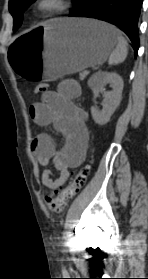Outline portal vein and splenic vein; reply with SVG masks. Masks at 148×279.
I'll use <instances>...</instances> for the list:
<instances>
[{"instance_id": "1", "label": "portal vein and splenic vein", "mask_w": 148, "mask_h": 279, "mask_svg": "<svg viewBox=\"0 0 148 279\" xmlns=\"http://www.w3.org/2000/svg\"><path fill=\"white\" fill-rule=\"evenodd\" d=\"M83 74L86 76L89 74V71H84Z\"/></svg>"}]
</instances>
